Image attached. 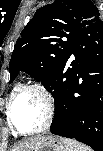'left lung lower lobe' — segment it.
<instances>
[{
  "label": "left lung lower lobe",
  "mask_w": 103,
  "mask_h": 151,
  "mask_svg": "<svg viewBox=\"0 0 103 151\" xmlns=\"http://www.w3.org/2000/svg\"><path fill=\"white\" fill-rule=\"evenodd\" d=\"M45 87L55 99L51 132L103 151V25L89 26L79 35Z\"/></svg>",
  "instance_id": "1"
}]
</instances>
